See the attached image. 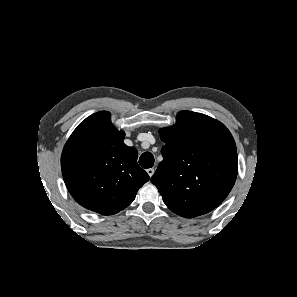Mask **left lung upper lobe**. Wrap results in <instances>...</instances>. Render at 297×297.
<instances>
[{"instance_id": "left-lung-upper-lobe-1", "label": "left lung upper lobe", "mask_w": 297, "mask_h": 297, "mask_svg": "<svg viewBox=\"0 0 297 297\" xmlns=\"http://www.w3.org/2000/svg\"><path fill=\"white\" fill-rule=\"evenodd\" d=\"M163 161L151 178L174 213L193 218L212 211L230 193L238 171L236 144L219 121L180 111L160 130Z\"/></svg>"}]
</instances>
